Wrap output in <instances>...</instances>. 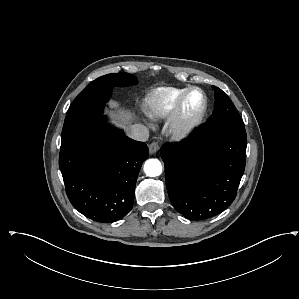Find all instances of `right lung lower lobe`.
Here are the masks:
<instances>
[{
	"mask_svg": "<svg viewBox=\"0 0 299 299\" xmlns=\"http://www.w3.org/2000/svg\"><path fill=\"white\" fill-rule=\"evenodd\" d=\"M92 121L61 144L59 166L67 196L88 218L111 223L132 208L135 184L148 147L121 130Z\"/></svg>",
	"mask_w": 299,
	"mask_h": 299,
	"instance_id": "obj_1",
	"label": "right lung lower lobe"
}]
</instances>
